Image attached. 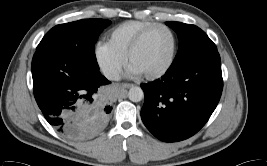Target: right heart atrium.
Masks as SVG:
<instances>
[{
    "mask_svg": "<svg viewBox=\"0 0 267 166\" xmlns=\"http://www.w3.org/2000/svg\"><path fill=\"white\" fill-rule=\"evenodd\" d=\"M95 57L99 66L109 76L117 75L123 68L124 57L108 43L99 42L96 45Z\"/></svg>",
    "mask_w": 267,
    "mask_h": 166,
    "instance_id": "1",
    "label": "right heart atrium"
}]
</instances>
